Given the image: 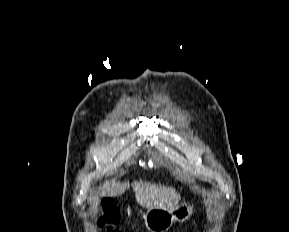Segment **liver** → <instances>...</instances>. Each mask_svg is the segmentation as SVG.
<instances>
[{
	"label": "liver",
	"mask_w": 289,
	"mask_h": 232,
	"mask_svg": "<svg viewBox=\"0 0 289 232\" xmlns=\"http://www.w3.org/2000/svg\"><path fill=\"white\" fill-rule=\"evenodd\" d=\"M132 185L138 204L148 209L172 208L181 200L180 194L173 187L143 181L135 182ZM128 187V182L106 181L100 185L99 194L100 196L116 197L124 194Z\"/></svg>",
	"instance_id": "liver-1"
}]
</instances>
